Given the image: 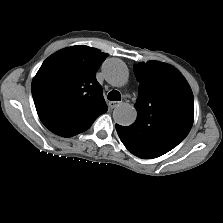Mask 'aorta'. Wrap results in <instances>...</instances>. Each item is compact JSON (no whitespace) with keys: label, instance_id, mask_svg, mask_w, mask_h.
I'll return each instance as SVG.
<instances>
[{"label":"aorta","instance_id":"obj_1","mask_svg":"<svg viewBox=\"0 0 223 223\" xmlns=\"http://www.w3.org/2000/svg\"><path fill=\"white\" fill-rule=\"evenodd\" d=\"M102 70L106 81L115 87L125 85L128 80V68L126 64L117 58L107 59ZM137 118V110L128 103L119 104L113 111V119L115 123L121 126H129L135 122Z\"/></svg>","mask_w":223,"mask_h":223}]
</instances>
